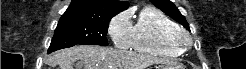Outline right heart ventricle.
Instances as JSON below:
<instances>
[{
  "label": "right heart ventricle",
  "instance_id": "obj_1",
  "mask_svg": "<svg viewBox=\"0 0 246 69\" xmlns=\"http://www.w3.org/2000/svg\"><path fill=\"white\" fill-rule=\"evenodd\" d=\"M177 24L163 11L143 8L130 34V48L134 51L160 57H173L180 53L179 45L172 38Z\"/></svg>",
  "mask_w": 246,
  "mask_h": 69
}]
</instances>
